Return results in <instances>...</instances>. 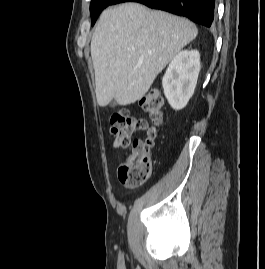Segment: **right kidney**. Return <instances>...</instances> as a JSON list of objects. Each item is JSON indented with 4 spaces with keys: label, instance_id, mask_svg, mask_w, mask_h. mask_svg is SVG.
Here are the masks:
<instances>
[{
    "label": "right kidney",
    "instance_id": "ca27d5eb",
    "mask_svg": "<svg viewBox=\"0 0 265 269\" xmlns=\"http://www.w3.org/2000/svg\"><path fill=\"white\" fill-rule=\"evenodd\" d=\"M197 50H183L170 62L162 79L164 94L175 110L184 108L192 97L200 72Z\"/></svg>",
    "mask_w": 265,
    "mask_h": 269
}]
</instances>
